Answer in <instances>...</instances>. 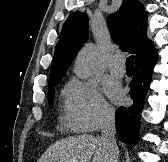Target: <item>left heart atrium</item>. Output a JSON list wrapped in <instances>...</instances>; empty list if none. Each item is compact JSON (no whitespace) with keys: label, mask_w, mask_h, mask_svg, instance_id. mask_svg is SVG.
<instances>
[{"label":"left heart atrium","mask_w":168,"mask_h":162,"mask_svg":"<svg viewBox=\"0 0 168 162\" xmlns=\"http://www.w3.org/2000/svg\"><path fill=\"white\" fill-rule=\"evenodd\" d=\"M108 93L115 100H119L122 97L121 91L116 88H111Z\"/></svg>","instance_id":"obj_1"}]
</instances>
